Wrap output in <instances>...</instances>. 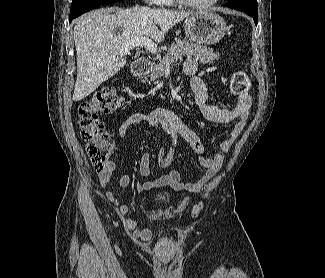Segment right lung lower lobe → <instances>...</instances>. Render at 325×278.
Returning a JSON list of instances; mask_svg holds the SVG:
<instances>
[{"mask_svg": "<svg viewBox=\"0 0 325 278\" xmlns=\"http://www.w3.org/2000/svg\"><path fill=\"white\" fill-rule=\"evenodd\" d=\"M116 1L118 0H73L70 9L69 21L71 22L73 19L77 18L83 13L97 8L100 5L113 4Z\"/></svg>", "mask_w": 325, "mask_h": 278, "instance_id": "1", "label": "right lung lower lobe"}]
</instances>
